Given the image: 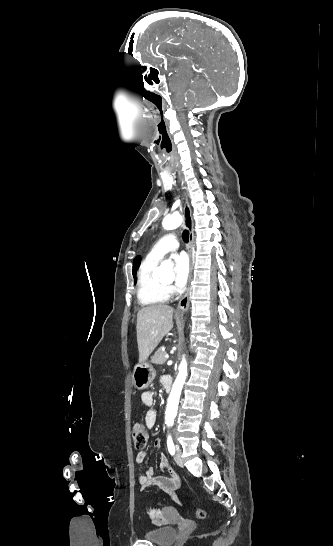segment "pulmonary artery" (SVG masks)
<instances>
[{
	"mask_svg": "<svg viewBox=\"0 0 333 546\" xmlns=\"http://www.w3.org/2000/svg\"><path fill=\"white\" fill-rule=\"evenodd\" d=\"M179 247V242L177 237L172 234H166L163 236L151 249L148 256L151 259L154 260H160L163 258L165 254H167L170 251H174Z\"/></svg>",
	"mask_w": 333,
	"mask_h": 546,
	"instance_id": "obj_1",
	"label": "pulmonary artery"
}]
</instances>
